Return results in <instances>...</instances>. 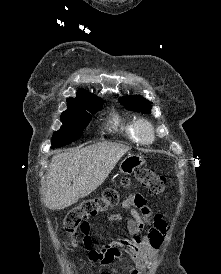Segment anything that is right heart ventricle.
I'll return each instance as SVG.
<instances>
[{"label":"right heart ventricle","instance_id":"1","mask_svg":"<svg viewBox=\"0 0 221 274\" xmlns=\"http://www.w3.org/2000/svg\"><path fill=\"white\" fill-rule=\"evenodd\" d=\"M138 121L134 118H123L114 115L111 120L112 128L134 143H142L137 132Z\"/></svg>","mask_w":221,"mask_h":274}]
</instances>
